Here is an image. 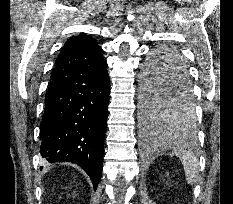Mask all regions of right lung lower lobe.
I'll use <instances>...</instances> for the list:
<instances>
[{"instance_id": "right-lung-lower-lobe-1", "label": "right lung lower lobe", "mask_w": 233, "mask_h": 204, "mask_svg": "<svg viewBox=\"0 0 233 204\" xmlns=\"http://www.w3.org/2000/svg\"><path fill=\"white\" fill-rule=\"evenodd\" d=\"M107 64L77 69L70 78L47 91L40 129V153L48 162L77 163L96 190L109 102Z\"/></svg>"}]
</instances>
